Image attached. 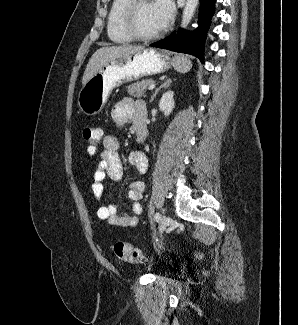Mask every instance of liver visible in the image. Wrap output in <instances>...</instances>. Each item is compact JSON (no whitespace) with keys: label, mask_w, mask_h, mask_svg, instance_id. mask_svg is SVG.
Wrapping results in <instances>:
<instances>
[{"label":"liver","mask_w":298,"mask_h":325,"mask_svg":"<svg viewBox=\"0 0 298 325\" xmlns=\"http://www.w3.org/2000/svg\"><path fill=\"white\" fill-rule=\"evenodd\" d=\"M145 46H132V44H121V46H101V48H97L93 54H91L86 68L83 72V76L81 78V84L84 86L96 72H98L99 68H101L102 64L108 62V60H113V58H122L125 54H136V52H142Z\"/></svg>","instance_id":"6515ba94"}]
</instances>
